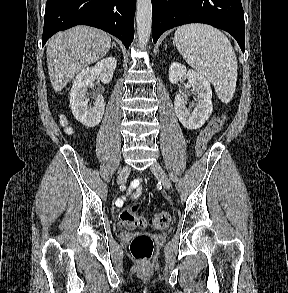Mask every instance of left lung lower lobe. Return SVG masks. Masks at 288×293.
<instances>
[{"instance_id": "obj_1", "label": "left lung lower lobe", "mask_w": 288, "mask_h": 293, "mask_svg": "<svg viewBox=\"0 0 288 293\" xmlns=\"http://www.w3.org/2000/svg\"><path fill=\"white\" fill-rule=\"evenodd\" d=\"M153 41L173 27L204 23L229 32L245 51L241 0H152Z\"/></svg>"}]
</instances>
